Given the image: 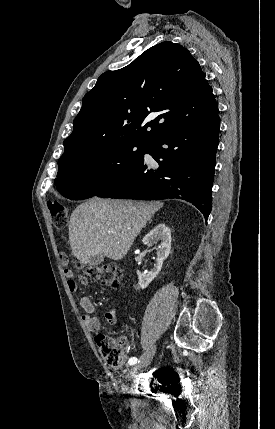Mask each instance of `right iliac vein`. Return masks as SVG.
I'll use <instances>...</instances> for the list:
<instances>
[{"label":"right iliac vein","instance_id":"obj_1","mask_svg":"<svg viewBox=\"0 0 275 429\" xmlns=\"http://www.w3.org/2000/svg\"><path fill=\"white\" fill-rule=\"evenodd\" d=\"M156 346H151L141 357L140 361L132 368L131 374L137 373L138 370L147 367L155 355Z\"/></svg>","mask_w":275,"mask_h":429}]
</instances>
